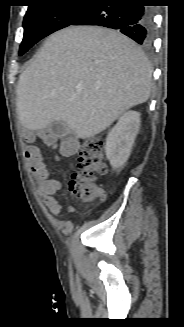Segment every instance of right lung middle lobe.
I'll use <instances>...</instances> for the list:
<instances>
[{"mask_svg":"<svg viewBox=\"0 0 184 327\" xmlns=\"http://www.w3.org/2000/svg\"><path fill=\"white\" fill-rule=\"evenodd\" d=\"M94 1L49 0L29 7L23 20L24 38L19 55H23L49 34L72 25L92 6Z\"/></svg>","mask_w":184,"mask_h":327,"instance_id":"1","label":"right lung middle lobe"}]
</instances>
